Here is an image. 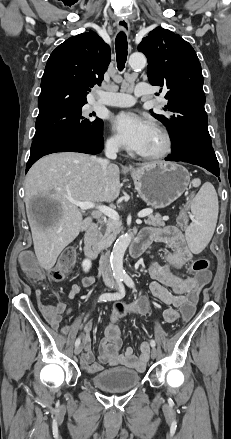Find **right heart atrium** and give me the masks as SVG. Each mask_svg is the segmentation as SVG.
Listing matches in <instances>:
<instances>
[{"instance_id": "d8ad5b80", "label": "right heart atrium", "mask_w": 231, "mask_h": 439, "mask_svg": "<svg viewBox=\"0 0 231 439\" xmlns=\"http://www.w3.org/2000/svg\"><path fill=\"white\" fill-rule=\"evenodd\" d=\"M106 145H107L108 148L113 149V150H116V149L120 148L119 141L117 140V138H115L113 136H111V137H109L107 139Z\"/></svg>"}]
</instances>
